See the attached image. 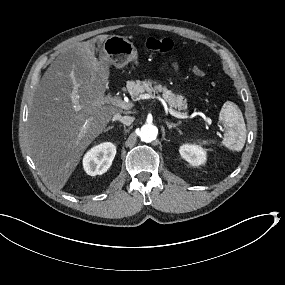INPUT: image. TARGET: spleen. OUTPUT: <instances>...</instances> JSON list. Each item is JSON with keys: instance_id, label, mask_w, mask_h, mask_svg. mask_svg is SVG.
<instances>
[{"instance_id": "1", "label": "spleen", "mask_w": 285, "mask_h": 285, "mask_svg": "<svg viewBox=\"0 0 285 285\" xmlns=\"http://www.w3.org/2000/svg\"><path fill=\"white\" fill-rule=\"evenodd\" d=\"M245 141H246V128L243 127L241 129V131L239 132V150L241 151L244 144H245ZM199 143L201 144H209L210 143V140L206 139V138H202L199 140Z\"/></svg>"}]
</instances>
